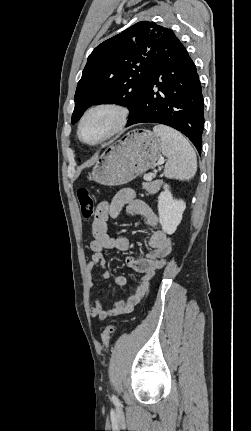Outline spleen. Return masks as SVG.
Returning a JSON list of instances; mask_svg holds the SVG:
<instances>
[{"label": "spleen", "mask_w": 251, "mask_h": 431, "mask_svg": "<svg viewBox=\"0 0 251 431\" xmlns=\"http://www.w3.org/2000/svg\"><path fill=\"white\" fill-rule=\"evenodd\" d=\"M153 131L161 138L162 153L168 158L165 176L179 180L192 179L197 171V158L188 140L166 125H156Z\"/></svg>", "instance_id": "spleen-1"}]
</instances>
